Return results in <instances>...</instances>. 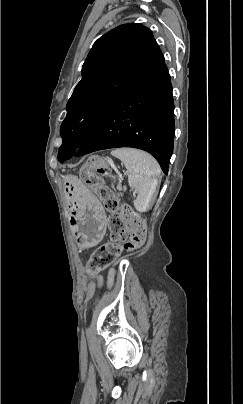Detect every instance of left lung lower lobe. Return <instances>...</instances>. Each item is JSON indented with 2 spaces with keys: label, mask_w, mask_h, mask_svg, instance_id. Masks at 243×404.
I'll list each match as a JSON object with an SVG mask.
<instances>
[{
  "label": "left lung lower lobe",
  "mask_w": 243,
  "mask_h": 404,
  "mask_svg": "<svg viewBox=\"0 0 243 404\" xmlns=\"http://www.w3.org/2000/svg\"><path fill=\"white\" fill-rule=\"evenodd\" d=\"M174 131L172 85L164 64L99 119L73 156L133 147L153 155L167 174Z\"/></svg>",
  "instance_id": "1"
}]
</instances>
